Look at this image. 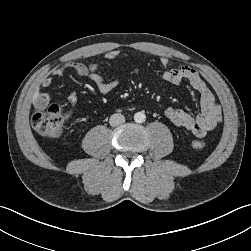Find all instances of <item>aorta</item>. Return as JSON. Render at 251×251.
<instances>
[{
    "label": "aorta",
    "mask_w": 251,
    "mask_h": 251,
    "mask_svg": "<svg viewBox=\"0 0 251 251\" xmlns=\"http://www.w3.org/2000/svg\"><path fill=\"white\" fill-rule=\"evenodd\" d=\"M145 119H146V116L143 112H137L134 115V121L136 123H143L145 121Z\"/></svg>",
    "instance_id": "1"
}]
</instances>
